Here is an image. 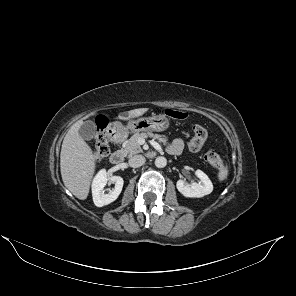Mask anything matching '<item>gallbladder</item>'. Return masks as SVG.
I'll return each instance as SVG.
<instances>
[{
  "mask_svg": "<svg viewBox=\"0 0 296 296\" xmlns=\"http://www.w3.org/2000/svg\"><path fill=\"white\" fill-rule=\"evenodd\" d=\"M96 133V125L93 121H85L80 129H79V135L84 139V140H91Z\"/></svg>",
  "mask_w": 296,
  "mask_h": 296,
  "instance_id": "bac80fb5",
  "label": "gallbladder"
}]
</instances>
